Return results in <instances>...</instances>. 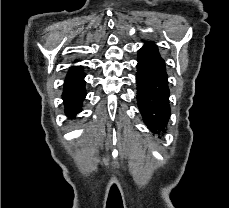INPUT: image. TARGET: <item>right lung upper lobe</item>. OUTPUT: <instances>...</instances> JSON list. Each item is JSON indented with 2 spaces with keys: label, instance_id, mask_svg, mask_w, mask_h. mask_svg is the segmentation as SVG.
Returning <instances> with one entry per match:
<instances>
[{
  "label": "right lung upper lobe",
  "instance_id": "1",
  "mask_svg": "<svg viewBox=\"0 0 229 208\" xmlns=\"http://www.w3.org/2000/svg\"><path fill=\"white\" fill-rule=\"evenodd\" d=\"M82 71L81 66L78 68H73L72 71L68 74V76L66 78H69L73 75H77L78 73H80Z\"/></svg>",
  "mask_w": 229,
  "mask_h": 208
}]
</instances>
